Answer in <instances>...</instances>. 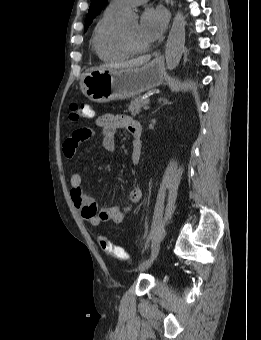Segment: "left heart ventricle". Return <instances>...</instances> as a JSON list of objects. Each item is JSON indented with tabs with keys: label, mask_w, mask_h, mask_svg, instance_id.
I'll return each instance as SVG.
<instances>
[{
	"label": "left heart ventricle",
	"mask_w": 261,
	"mask_h": 340,
	"mask_svg": "<svg viewBox=\"0 0 261 340\" xmlns=\"http://www.w3.org/2000/svg\"><path fill=\"white\" fill-rule=\"evenodd\" d=\"M124 29L135 46L139 48H144L148 46L146 41L140 35L138 23H133L125 27Z\"/></svg>",
	"instance_id": "left-heart-ventricle-1"
}]
</instances>
